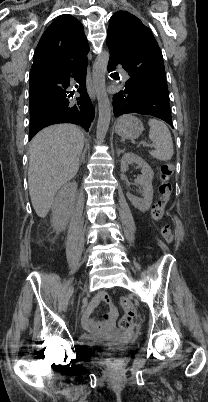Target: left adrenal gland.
Segmentation results:
<instances>
[{
    "label": "left adrenal gland",
    "instance_id": "a2214340",
    "mask_svg": "<svg viewBox=\"0 0 208 402\" xmlns=\"http://www.w3.org/2000/svg\"><path fill=\"white\" fill-rule=\"evenodd\" d=\"M116 152H117V154L119 156V154H122V152H124V150H116Z\"/></svg>",
    "mask_w": 208,
    "mask_h": 402
}]
</instances>
